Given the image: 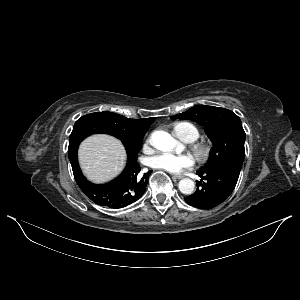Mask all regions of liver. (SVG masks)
Returning <instances> with one entry per match:
<instances>
[{"label": "liver", "mask_w": 300, "mask_h": 300, "mask_svg": "<svg viewBox=\"0 0 300 300\" xmlns=\"http://www.w3.org/2000/svg\"><path fill=\"white\" fill-rule=\"evenodd\" d=\"M78 157L85 176L92 182L104 183L123 170L126 152L116 138L93 135L81 143Z\"/></svg>", "instance_id": "1"}]
</instances>
